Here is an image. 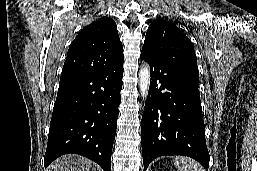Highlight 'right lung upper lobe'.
<instances>
[{"label":"right lung upper lobe","instance_id":"1","mask_svg":"<svg viewBox=\"0 0 257 171\" xmlns=\"http://www.w3.org/2000/svg\"><path fill=\"white\" fill-rule=\"evenodd\" d=\"M123 47L113 19L89 24L71 43L61 77L87 74L123 62Z\"/></svg>","mask_w":257,"mask_h":171}]
</instances>
